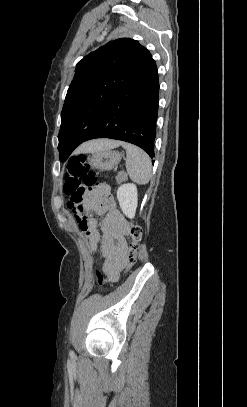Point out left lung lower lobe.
<instances>
[{
    "label": "left lung lower lobe",
    "instance_id": "obj_1",
    "mask_svg": "<svg viewBox=\"0 0 247 407\" xmlns=\"http://www.w3.org/2000/svg\"><path fill=\"white\" fill-rule=\"evenodd\" d=\"M158 93L157 66L152 59L112 100L84 141L96 138L122 140L139 146L153 158Z\"/></svg>",
    "mask_w": 247,
    "mask_h": 407
}]
</instances>
